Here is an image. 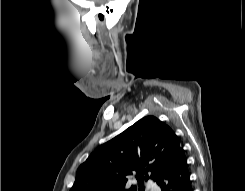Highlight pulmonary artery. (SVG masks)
<instances>
[{
	"label": "pulmonary artery",
	"mask_w": 245,
	"mask_h": 191,
	"mask_svg": "<svg viewBox=\"0 0 245 191\" xmlns=\"http://www.w3.org/2000/svg\"><path fill=\"white\" fill-rule=\"evenodd\" d=\"M147 187L151 189V191H160L158 184L152 180L147 182Z\"/></svg>",
	"instance_id": "obj_1"
}]
</instances>
